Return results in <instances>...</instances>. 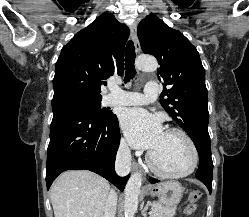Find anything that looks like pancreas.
Segmentation results:
<instances>
[{
    "instance_id": "obj_1",
    "label": "pancreas",
    "mask_w": 249,
    "mask_h": 217,
    "mask_svg": "<svg viewBox=\"0 0 249 217\" xmlns=\"http://www.w3.org/2000/svg\"><path fill=\"white\" fill-rule=\"evenodd\" d=\"M176 212V207H166L159 202L152 203L153 217H173Z\"/></svg>"
}]
</instances>
